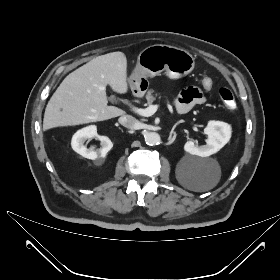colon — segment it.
Returning a JSON list of instances; mask_svg holds the SVG:
<instances>
[{
  "label": "colon",
  "mask_w": 280,
  "mask_h": 280,
  "mask_svg": "<svg viewBox=\"0 0 280 280\" xmlns=\"http://www.w3.org/2000/svg\"><path fill=\"white\" fill-rule=\"evenodd\" d=\"M201 85H202L203 90L206 92H211L215 88L214 81L209 77L204 78L201 82ZM219 96L226 108H228L230 110H233L236 108L235 97L228 88H220Z\"/></svg>",
  "instance_id": "obj_1"
}]
</instances>
